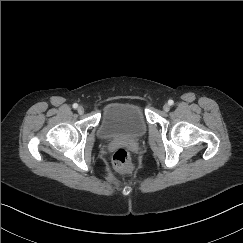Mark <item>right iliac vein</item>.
I'll use <instances>...</instances> for the list:
<instances>
[{
  "label": "right iliac vein",
  "instance_id": "63e3f726",
  "mask_svg": "<svg viewBox=\"0 0 243 243\" xmlns=\"http://www.w3.org/2000/svg\"><path fill=\"white\" fill-rule=\"evenodd\" d=\"M77 111L79 114H82V113H84V108L82 106H79Z\"/></svg>",
  "mask_w": 243,
  "mask_h": 243
}]
</instances>
